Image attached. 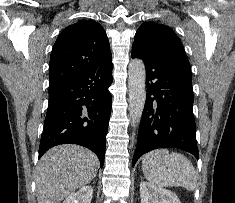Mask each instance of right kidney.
<instances>
[{
	"label": "right kidney",
	"mask_w": 235,
	"mask_h": 203,
	"mask_svg": "<svg viewBox=\"0 0 235 203\" xmlns=\"http://www.w3.org/2000/svg\"><path fill=\"white\" fill-rule=\"evenodd\" d=\"M93 188L91 186H83L77 192L70 194L63 203H91Z\"/></svg>",
	"instance_id": "right-kidney-1"
}]
</instances>
